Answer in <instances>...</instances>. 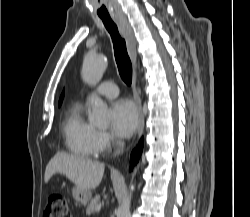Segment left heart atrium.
<instances>
[{
    "instance_id": "obj_1",
    "label": "left heart atrium",
    "mask_w": 250,
    "mask_h": 217,
    "mask_svg": "<svg viewBox=\"0 0 250 217\" xmlns=\"http://www.w3.org/2000/svg\"><path fill=\"white\" fill-rule=\"evenodd\" d=\"M110 121L115 134L120 137H129L138 127L139 115L132 102L121 99L111 106Z\"/></svg>"
}]
</instances>
